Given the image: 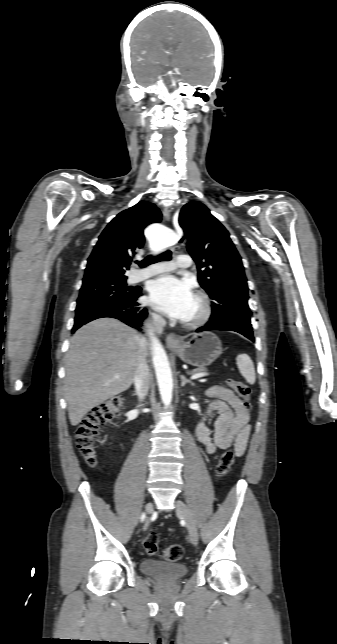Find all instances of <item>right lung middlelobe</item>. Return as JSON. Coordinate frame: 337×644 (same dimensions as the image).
<instances>
[{
    "label": "right lung middle lobe",
    "mask_w": 337,
    "mask_h": 644,
    "mask_svg": "<svg viewBox=\"0 0 337 644\" xmlns=\"http://www.w3.org/2000/svg\"><path fill=\"white\" fill-rule=\"evenodd\" d=\"M137 293L138 288L127 287L126 277L83 281L75 311L124 302Z\"/></svg>",
    "instance_id": "1"
}]
</instances>
